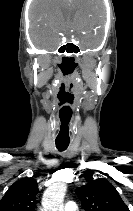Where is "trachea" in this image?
Returning <instances> with one entry per match:
<instances>
[{"label": "trachea", "instance_id": "1", "mask_svg": "<svg viewBox=\"0 0 133 211\" xmlns=\"http://www.w3.org/2000/svg\"><path fill=\"white\" fill-rule=\"evenodd\" d=\"M69 145V141H60V140H56V147L59 151H64L67 149Z\"/></svg>", "mask_w": 133, "mask_h": 211}]
</instances>
